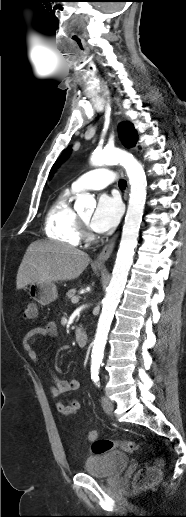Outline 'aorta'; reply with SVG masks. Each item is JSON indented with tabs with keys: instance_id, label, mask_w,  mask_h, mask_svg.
Segmentation results:
<instances>
[{
	"instance_id": "762f6f07",
	"label": "aorta",
	"mask_w": 186,
	"mask_h": 517,
	"mask_svg": "<svg viewBox=\"0 0 186 517\" xmlns=\"http://www.w3.org/2000/svg\"><path fill=\"white\" fill-rule=\"evenodd\" d=\"M90 162L93 166H102L110 163L121 164L126 170L131 186L120 246L113 268L112 278L102 302V312L99 317L93 342L91 370H98L103 360L110 325L133 262L146 200L147 181L142 165L127 151L118 148H106L95 151L90 158ZM94 202V198L89 193L79 194L76 198L75 208L83 209Z\"/></svg>"
}]
</instances>
